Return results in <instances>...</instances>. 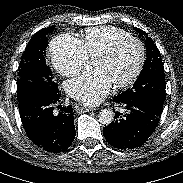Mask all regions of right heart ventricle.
I'll list each match as a JSON object with an SVG mask.
<instances>
[{
  "label": "right heart ventricle",
  "mask_w": 183,
  "mask_h": 183,
  "mask_svg": "<svg viewBox=\"0 0 183 183\" xmlns=\"http://www.w3.org/2000/svg\"><path fill=\"white\" fill-rule=\"evenodd\" d=\"M131 37L123 29L113 26L88 28L79 40L87 57L93 58L117 40Z\"/></svg>",
  "instance_id": "1"
}]
</instances>
